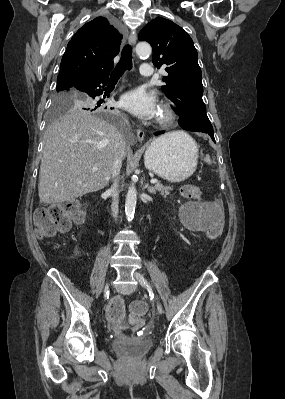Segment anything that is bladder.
<instances>
[{
	"mask_svg": "<svg viewBox=\"0 0 285 399\" xmlns=\"http://www.w3.org/2000/svg\"><path fill=\"white\" fill-rule=\"evenodd\" d=\"M183 206L182 209H186ZM153 339H139V340H116L112 342V350L117 355L129 359H136L146 355L153 346Z\"/></svg>",
	"mask_w": 285,
	"mask_h": 399,
	"instance_id": "obj_1",
	"label": "bladder"
}]
</instances>
